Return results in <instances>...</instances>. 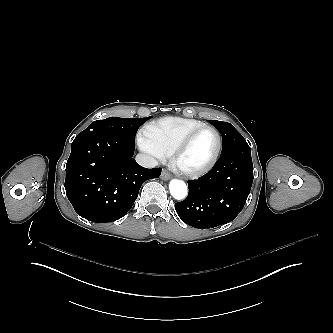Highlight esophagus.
I'll use <instances>...</instances> for the list:
<instances>
[{
  "label": "esophagus",
  "instance_id": "34e87169",
  "mask_svg": "<svg viewBox=\"0 0 333 333\" xmlns=\"http://www.w3.org/2000/svg\"><path fill=\"white\" fill-rule=\"evenodd\" d=\"M160 178L163 181H168L171 178V174L169 172H167L166 170H162Z\"/></svg>",
  "mask_w": 333,
  "mask_h": 333
}]
</instances>
